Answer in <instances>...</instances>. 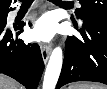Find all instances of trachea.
I'll return each instance as SVG.
<instances>
[{
    "label": "trachea",
    "mask_w": 107,
    "mask_h": 89,
    "mask_svg": "<svg viewBox=\"0 0 107 89\" xmlns=\"http://www.w3.org/2000/svg\"><path fill=\"white\" fill-rule=\"evenodd\" d=\"M22 2V5H27V4H31L33 2V0H20ZM50 2L57 4V5H62V6H71V4L69 2H64V1H60V0H49Z\"/></svg>",
    "instance_id": "trachea-1"
}]
</instances>
